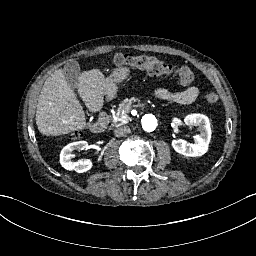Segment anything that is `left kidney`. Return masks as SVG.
Instances as JSON below:
<instances>
[{
    "label": "left kidney",
    "mask_w": 256,
    "mask_h": 256,
    "mask_svg": "<svg viewBox=\"0 0 256 256\" xmlns=\"http://www.w3.org/2000/svg\"><path fill=\"white\" fill-rule=\"evenodd\" d=\"M187 126H198L200 134L194 136L195 143H188L186 140L177 139L172 141L174 150L184 156L198 157L208 151L211 139V127L209 118L203 114H190L184 118Z\"/></svg>",
    "instance_id": "left-kidney-1"
}]
</instances>
